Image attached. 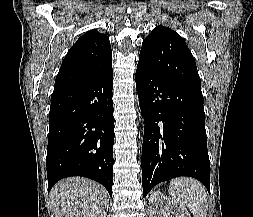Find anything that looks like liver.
<instances>
[{
  "mask_svg": "<svg viewBox=\"0 0 253 217\" xmlns=\"http://www.w3.org/2000/svg\"><path fill=\"white\" fill-rule=\"evenodd\" d=\"M50 199L54 217H106L108 210L105 188L83 177L59 181Z\"/></svg>",
  "mask_w": 253,
  "mask_h": 217,
  "instance_id": "1",
  "label": "liver"
}]
</instances>
